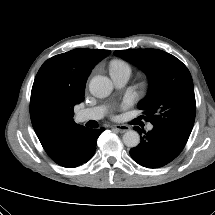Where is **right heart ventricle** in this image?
<instances>
[{"mask_svg": "<svg viewBox=\"0 0 215 215\" xmlns=\"http://www.w3.org/2000/svg\"><path fill=\"white\" fill-rule=\"evenodd\" d=\"M109 71L110 74H119V73H127L131 74V67L130 65L120 59H114L109 63Z\"/></svg>", "mask_w": 215, "mask_h": 215, "instance_id": "e07e8e85", "label": "right heart ventricle"}]
</instances>
